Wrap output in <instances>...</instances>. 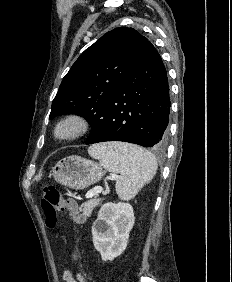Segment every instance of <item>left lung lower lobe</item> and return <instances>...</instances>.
<instances>
[{
  "label": "left lung lower lobe",
  "instance_id": "0a47b994",
  "mask_svg": "<svg viewBox=\"0 0 232 282\" xmlns=\"http://www.w3.org/2000/svg\"><path fill=\"white\" fill-rule=\"evenodd\" d=\"M170 104L165 66L148 41L138 63L115 92L85 143L123 141L162 148L168 138Z\"/></svg>",
  "mask_w": 232,
  "mask_h": 282
}]
</instances>
